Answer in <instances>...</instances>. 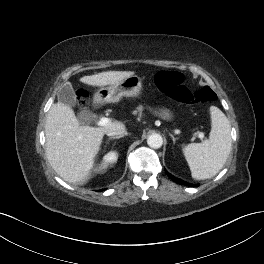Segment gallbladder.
I'll list each match as a JSON object with an SVG mask.
<instances>
[{
    "label": "gallbladder",
    "instance_id": "gallbladder-1",
    "mask_svg": "<svg viewBox=\"0 0 264 264\" xmlns=\"http://www.w3.org/2000/svg\"><path fill=\"white\" fill-rule=\"evenodd\" d=\"M58 102L68 107L76 105V97L70 83H65L61 86L57 93ZM93 118V113L89 110H82L78 113V120L82 124L89 123Z\"/></svg>",
    "mask_w": 264,
    "mask_h": 264
}]
</instances>
